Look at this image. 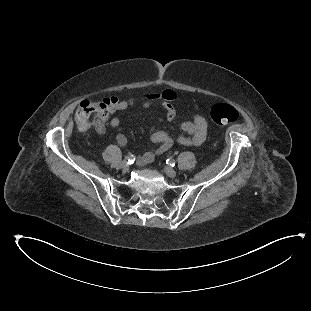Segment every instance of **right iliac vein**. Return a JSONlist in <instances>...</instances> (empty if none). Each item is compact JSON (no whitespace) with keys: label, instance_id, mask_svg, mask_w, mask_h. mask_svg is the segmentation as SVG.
I'll return each mask as SVG.
<instances>
[{"label":"right iliac vein","instance_id":"obj_1","mask_svg":"<svg viewBox=\"0 0 311 311\" xmlns=\"http://www.w3.org/2000/svg\"><path fill=\"white\" fill-rule=\"evenodd\" d=\"M121 168L124 172H128L129 171V164L126 161H123L121 164Z\"/></svg>","mask_w":311,"mask_h":311}]
</instances>
